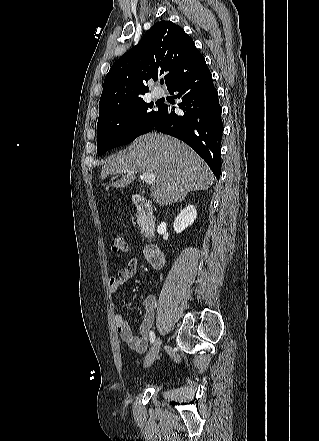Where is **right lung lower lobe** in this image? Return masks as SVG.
Listing matches in <instances>:
<instances>
[{"label": "right lung lower lobe", "instance_id": "1", "mask_svg": "<svg viewBox=\"0 0 319 441\" xmlns=\"http://www.w3.org/2000/svg\"><path fill=\"white\" fill-rule=\"evenodd\" d=\"M168 90L171 94L178 93L176 98L182 99L179 108L184 114L177 115L173 108L163 104L154 128L187 143L206 161L219 179L222 108L205 59L176 80Z\"/></svg>", "mask_w": 319, "mask_h": 441}]
</instances>
